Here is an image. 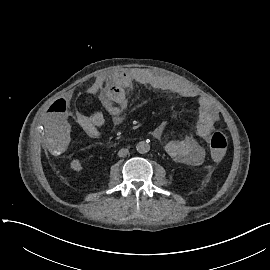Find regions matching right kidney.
<instances>
[{
  "mask_svg": "<svg viewBox=\"0 0 270 270\" xmlns=\"http://www.w3.org/2000/svg\"><path fill=\"white\" fill-rule=\"evenodd\" d=\"M71 168L74 169V170H76V171H80L82 169V166H81L79 160H77V159L76 160H73L71 162Z\"/></svg>",
  "mask_w": 270,
  "mask_h": 270,
  "instance_id": "ca27d5eb",
  "label": "right kidney"
}]
</instances>
